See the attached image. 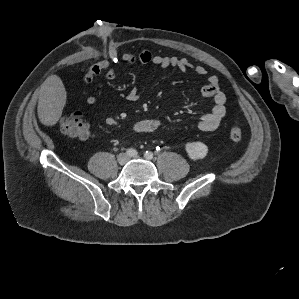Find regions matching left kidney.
Here are the masks:
<instances>
[{
  "label": "left kidney",
  "mask_w": 299,
  "mask_h": 299,
  "mask_svg": "<svg viewBox=\"0 0 299 299\" xmlns=\"http://www.w3.org/2000/svg\"><path fill=\"white\" fill-rule=\"evenodd\" d=\"M185 149L193 160L202 159L208 153V147L202 142L187 143Z\"/></svg>",
  "instance_id": "5707ae66"
}]
</instances>
